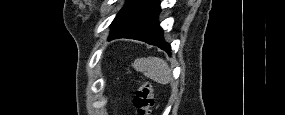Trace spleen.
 Wrapping results in <instances>:
<instances>
[{"mask_svg": "<svg viewBox=\"0 0 285 115\" xmlns=\"http://www.w3.org/2000/svg\"><path fill=\"white\" fill-rule=\"evenodd\" d=\"M133 68L146 77L160 84H168L172 73L167 62L158 57L138 58L132 64Z\"/></svg>", "mask_w": 285, "mask_h": 115, "instance_id": "spleen-1", "label": "spleen"}]
</instances>
